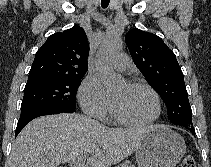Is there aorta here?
<instances>
[{
	"mask_svg": "<svg viewBox=\"0 0 211 167\" xmlns=\"http://www.w3.org/2000/svg\"><path fill=\"white\" fill-rule=\"evenodd\" d=\"M122 49V40L117 36L106 38L98 51L97 70L106 90H113L122 84L123 78L110 67L112 58Z\"/></svg>",
	"mask_w": 211,
	"mask_h": 167,
	"instance_id": "obj_1",
	"label": "aorta"
}]
</instances>
